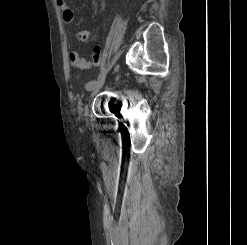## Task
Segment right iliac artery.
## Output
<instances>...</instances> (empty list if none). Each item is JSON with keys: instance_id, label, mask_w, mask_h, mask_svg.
Returning <instances> with one entry per match:
<instances>
[{"instance_id": "82829eb1", "label": "right iliac artery", "mask_w": 247, "mask_h": 245, "mask_svg": "<svg viewBox=\"0 0 247 245\" xmlns=\"http://www.w3.org/2000/svg\"><path fill=\"white\" fill-rule=\"evenodd\" d=\"M107 74H108L107 70L104 69L102 71V73L100 74V76L97 78V80L90 81V82L87 83L86 89L87 90H91L92 86L93 87H98L101 84V82H105L107 80V77H108Z\"/></svg>"}]
</instances>
